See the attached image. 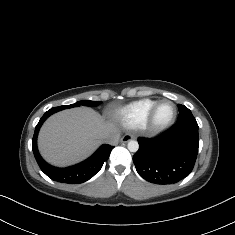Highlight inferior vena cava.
Returning a JSON list of instances; mask_svg holds the SVG:
<instances>
[{
    "instance_id": "obj_1",
    "label": "inferior vena cava",
    "mask_w": 235,
    "mask_h": 235,
    "mask_svg": "<svg viewBox=\"0 0 235 235\" xmlns=\"http://www.w3.org/2000/svg\"><path fill=\"white\" fill-rule=\"evenodd\" d=\"M120 133L117 130L109 131L102 135V141L111 146H116L119 142Z\"/></svg>"
}]
</instances>
